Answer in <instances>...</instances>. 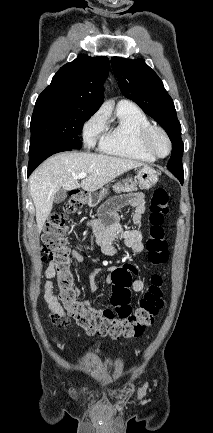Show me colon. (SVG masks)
Returning <instances> with one entry per match:
<instances>
[{"label":"colon","instance_id":"colon-1","mask_svg":"<svg viewBox=\"0 0 213 433\" xmlns=\"http://www.w3.org/2000/svg\"><path fill=\"white\" fill-rule=\"evenodd\" d=\"M87 198V193L83 191H71L63 211L53 213L44 228L43 251L57 272L59 298L68 316L89 333L108 335L112 338L140 336L145 327L154 322L164 305L163 279L159 274L152 275L150 284L135 311L130 305L133 273L125 265L116 268L111 275L112 310L99 312L89 308L78 299V291L73 286V277L69 270L70 252L64 233L69 216L83 208L87 203ZM168 211L169 194L165 189L157 188L150 202V227L146 241L148 259L154 265L163 264L168 259V243L163 227ZM53 321L60 328L68 325L67 320L60 317H54Z\"/></svg>","mask_w":213,"mask_h":433}]
</instances>
